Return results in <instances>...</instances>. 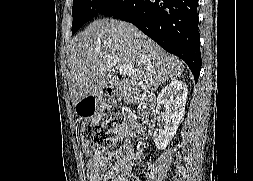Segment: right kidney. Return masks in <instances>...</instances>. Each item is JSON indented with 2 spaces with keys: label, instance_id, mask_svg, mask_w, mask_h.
Masks as SVG:
<instances>
[{
  "label": "right kidney",
  "instance_id": "1",
  "mask_svg": "<svg viewBox=\"0 0 253 181\" xmlns=\"http://www.w3.org/2000/svg\"><path fill=\"white\" fill-rule=\"evenodd\" d=\"M187 92L186 83L173 80L157 97V104L165 109L164 130L156 128L153 135L155 145L159 150H164L177 132L185 111Z\"/></svg>",
  "mask_w": 253,
  "mask_h": 181
}]
</instances>
